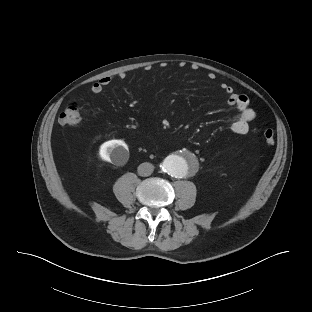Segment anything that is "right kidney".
<instances>
[{
  "mask_svg": "<svg viewBox=\"0 0 312 312\" xmlns=\"http://www.w3.org/2000/svg\"><path fill=\"white\" fill-rule=\"evenodd\" d=\"M99 157L114 164H124L129 158L127 144L122 140L104 142L99 149Z\"/></svg>",
  "mask_w": 312,
  "mask_h": 312,
  "instance_id": "right-kidney-1",
  "label": "right kidney"
}]
</instances>
